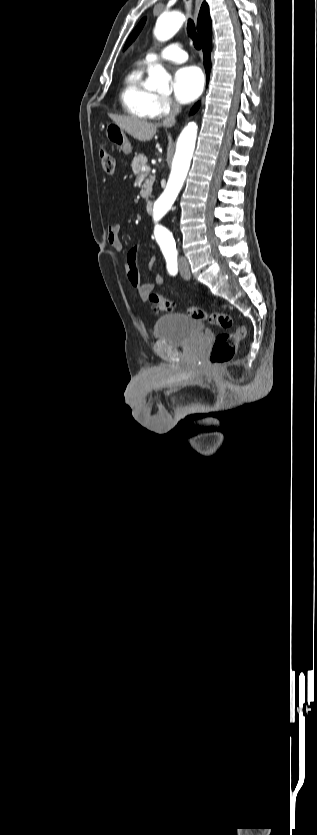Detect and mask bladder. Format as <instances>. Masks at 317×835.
I'll return each instance as SVG.
<instances>
[{"instance_id": "31cf9c89", "label": "bladder", "mask_w": 317, "mask_h": 835, "mask_svg": "<svg viewBox=\"0 0 317 835\" xmlns=\"http://www.w3.org/2000/svg\"><path fill=\"white\" fill-rule=\"evenodd\" d=\"M204 324L197 319L181 313L161 316L154 324L156 338L164 339L175 346H186L202 338Z\"/></svg>"}]
</instances>
